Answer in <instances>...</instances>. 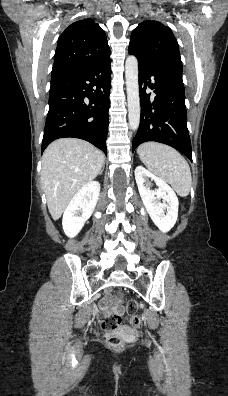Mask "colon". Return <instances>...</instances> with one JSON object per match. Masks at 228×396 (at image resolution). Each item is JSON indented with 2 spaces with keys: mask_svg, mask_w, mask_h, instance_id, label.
I'll list each match as a JSON object with an SVG mask.
<instances>
[{
  "mask_svg": "<svg viewBox=\"0 0 228 396\" xmlns=\"http://www.w3.org/2000/svg\"><path fill=\"white\" fill-rule=\"evenodd\" d=\"M116 298L119 300L123 299V295L121 293L116 294ZM139 305L138 302L135 300H129L126 303V313L128 316L129 323L135 327L140 328L141 326V319L138 315ZM122 322V318L118 314L110 315L103 319L102 327L104 330L113 332L110 337L108 338V345L111 348H121L125 344V337L120 333H115Z\"/></svg>",
  "mask_w": 228,
  "mask_h": 396,
  "instance_id": "1",
  "label": "colon"
}]
</instances>
